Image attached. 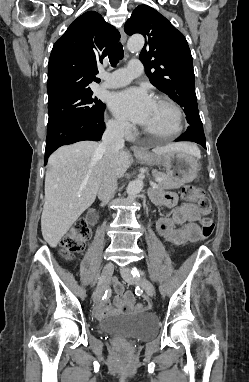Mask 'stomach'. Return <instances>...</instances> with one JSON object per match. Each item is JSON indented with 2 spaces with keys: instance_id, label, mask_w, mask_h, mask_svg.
I'll use <instances>...</instances> for the list:
<instances>
[{
  "instance_id": "stomach-1",
  "label": "stomach",
  "mask_w": 249,
  "mask_h": 382,
  "mask_svg": "<svg viewBox=\"0 0 249 382\" xmlns=\"http://www.w3.org/2000/svg\"><path fill=\"white\" fill-rule=\"evenodd\" d=\"M136 157L147 165L164 167L169 176L178 178L183 183L191 182L198 173L197 159L187 151L174 150L162 155L146 152Z\"/></svg>"
}]
</instances>
